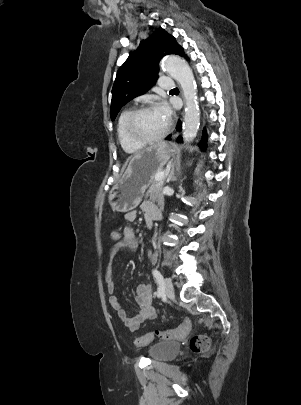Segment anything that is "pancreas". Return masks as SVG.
<instances>
[{"label": "pancreas", "mask_w": 301, "mask_h": 405, "mask_svg": "<svg viewBox=\"0 0 301 405\" xmlns=\"http://www.w3.org/2000/svg\"><path fill=\"white\" fill-rule=\"evenodd\" d=\"M162 172L161 170L158 171L157 173ZM156 173V174H157ZM155 174V176H156ZM162 188L163 184L159 181H154L149 190L146 193V196L150 198L151 201L157 202L158 205L163 206L164 205V197L162 194Z\"/></svg>", "instance_id": "cf45deb5"}]
</instances>
